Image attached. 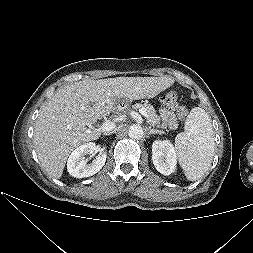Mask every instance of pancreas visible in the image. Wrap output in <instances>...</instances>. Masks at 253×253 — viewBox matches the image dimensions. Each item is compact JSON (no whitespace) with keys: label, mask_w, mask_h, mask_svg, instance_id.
<instances>
[{"label":"pancreas","mask_w":253,"mask_h":253,"mask_svg":"<svg viewBox=\"0 0 253 253\" xmlns=\"http://www.w3.org/2000/svg\"><path fill=\"white\" fill-rule=\"evenodd\" d=\"M133 109H143L147 112V122L152 125V126H157L159 127L160 125V117L156 114L155 108L147 103H136L132 106Z\"/></svg>","instance_id":"pancreas-1"}]
</instances>
